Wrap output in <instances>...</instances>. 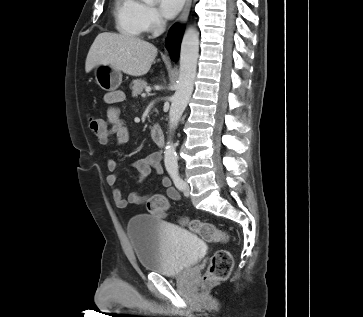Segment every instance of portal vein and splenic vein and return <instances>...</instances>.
Wrapping results in <instances>:
<instances>
[{
  "mask_svg": "<svg viewBox=\"0 0 363 317\" xmlns=\"http://www.w3.org/2000/svg\"><path fill=\"white\" fill-rule=\"evenodd\" d=\"M145 91H146V93H149L151 91V88L150 87H146ZM142 96L145 97L146 94L144 93V94H142Z\"/></svg>",
  "mask_w": 363,
  "mask_h": 317,
  "instance_id": "1",
  "label": "portal vein and splenic vein"
}]
</instances>
